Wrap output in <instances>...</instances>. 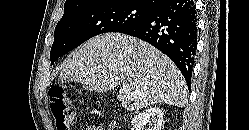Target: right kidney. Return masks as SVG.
<instances>
[{"label":"right kidney","instance_id":"right-kidney-1","mask_svg":"<svg viewBox=\"0 0 249 130\" xmlns=\"http://www.w3.org/2000/svg\"><path fill=\"white\" fill-rule=\"evenodd\" d=\"M163 110L159 107H150L138 113L131 121L130 130H143L146 125L148 130H161Z\"/></svg>","mask_w":249,"mask_h":130}]
</instances>
